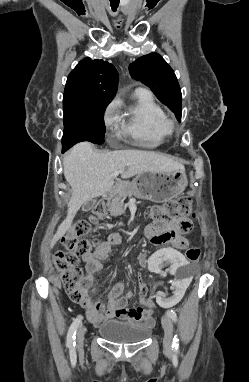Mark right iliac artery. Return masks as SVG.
I'll return each instance as SVG.
<instances>
[{"instance_id": "1", "label": "right iliac artery", "mask_w": 249, "mask_h": 382, "mask_svg": "<svg viewBox=\"0 0 249 382\" xmlns=\"http://www.w3.org/2000/svg\"><path fill=\"white\" fill-rule=\"evenodd\" d=\"M81 320H82V316H78L74 321L73 323L71 324L70 328H69V331H68V334H67V345L68 347L70 348H73L75 347L76 345V342H75V338H76V332H77V329L81 323Z\"/></svg>"}]
</instances>
